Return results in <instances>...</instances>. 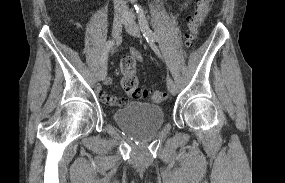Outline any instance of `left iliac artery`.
I'll return each instance as SVG.
<instances>
[{"label": "left iliac artery", "mask_w": 285, "mask_h": 183, "mask_svg": "<svg viewBox=\"0 0 285 183\" xmlns=\"http://www.w3.org/2000/svg\"><path fill=\"white\" fill-rule=\"evenodd\" d=\"M137 13L139 15V25L140 29L143 33V36L147 40V42H156L158 41V37L156 34L150 29L146 17L144 15V11L141 7H136Z\"/></svg>", "instance_id": "1"}]
</instances>
